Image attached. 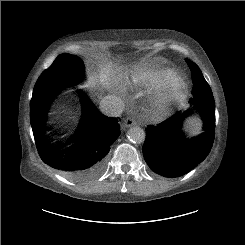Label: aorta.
Segmentation results:
<instances>
[{
	"label": "aorta",
	"mask_w": 245,
	"mask_h": 245,
	"mask_svg": "<svg viewBox=\"0 0 245 245\" xmlns=\"http://www.w3.org/2000/svg\"><path fill=\"white\" fill-rule=\"evenodd\" d=\"M146 134L144 130L138 126L132 127L128 130V138L131 142L140 144L144 142Z\"/></svg>",
	"instance_id": "1"
}]
</instances>
